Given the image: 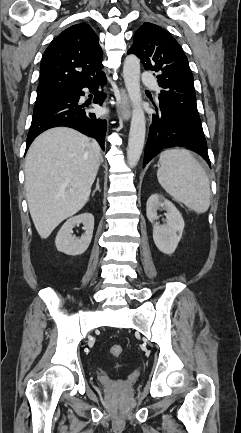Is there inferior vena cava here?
<instances>
[{"label":"inferior vena cava","instance_id":"602c4592","mask_svg":"<svg viewBox=\"0 0 241 433\" xmlns=\"http://www.w3.org/2000/svg\"><path fill=\"white\" fill-rule=\"evenodd\" d=\"M92 146L94 147V149L96 150L97 154L100 157V147H99L98 143L96 141H93Z\"/></svg>","mask_w":241,"mask_h":433}]
</instances>
